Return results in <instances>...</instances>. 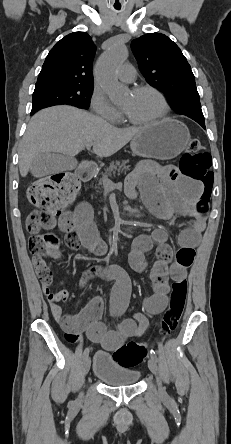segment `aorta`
<instances>
[{"instance_id":"1","label":"aorta","mask_w":231,"mask_h":444,"mask_svg":"<svg viewBox=\"0 0 231 444\" xmlns=\"http://www.w3.org/2000/svg\"><path fill=\"white\" fill-rule=\"evenodd\" d=\"M127 56L128 50L125 44L117 43L97 61L98 81L111 101L122 99L127 92V88L118 82L115 74L117 68L127 59Z\"/></svg>"}]
</instances>
